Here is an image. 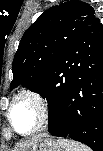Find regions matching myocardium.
Instances as JSON below:
<instances>
[{"instance_id": "myocardium-1", "label": "myocardium", "mask_w": 103, "mask_h": 151, "mask_svg": "<svg viewBox=\"0 0 103 151\" xmlns=\"http://www.w3.org/2000/svg\"><path fill=\"white\" fill-rule=\"evenodd\" d=\"M21 99H28V100L32 101L35 104V106L37 108V111H38V121H37V124L35 125L34 128H32L31 130H29L27 132H20V131H18L16 129V127H15L13 121H12V117H11V112H12L13 107ZM6 117H7V120L9 122L10 126L12 127V129L16 133H18L19 135L27 136V135H31L33 133H36L39 130H41L42 128H44V126L48 122L49 107H48L47 100L38 91L31 90V89L21 90L20 92H18L12 98V100H11L9 106H8L7 112H6Z\"/></svg>"}]
</instances>
